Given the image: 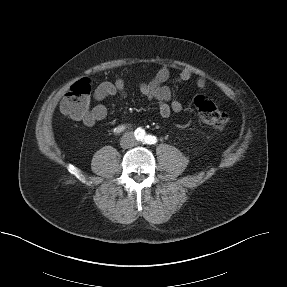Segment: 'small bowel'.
<instances>
[{"label": "small bowel", "mask_w": 287, "mask_h": 287, "mask_svg": "<svg viewBox=\"0 0 287 287\" xmlns=\"http://www.w3.org/2000/svg\"><path fill=\"white\" fill-rule=\"evenodd\" d=\"M192 76L193 74L189 69H183L174 81L177 84L184 83L189 81ZM171 80V70L164 65L150 82H143L139 85L140 94L144 98L157 103L159 114L163 118L169 117L173 112L178 113L183 108L181 102L174 97L173 90L166 85ZM196 84L200 90H203L206 86V79L200 76L197 78ZM115 95L126 96L125 82L122 78H118L114 82H103L98 85L93 95L94 100L98 103L81 119L82 123L87 127H92L96 122L105 119L107 108L101 102Z\"/></svg>", "instance_id": "c3829d8e"}]
</instances>
